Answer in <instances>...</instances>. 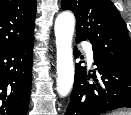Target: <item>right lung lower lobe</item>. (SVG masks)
Here are the masks:
<instances>
[{
	"label": "right lung lower lobe",
	"instance_id": "right-lung-lower-lobe-1",
	"mask_svg": "<svg viewBox=\"0 0 131 115\" xmlns=\"http://www.w3.org/2000/svg\"><path fill=\"white\" fill-rule=\"evenodd\" d=\"M34 38L0 50V115H27Z\"/></svg>",
	"mask_w": 131,
	"mask_h": 115
}]
</instances>
